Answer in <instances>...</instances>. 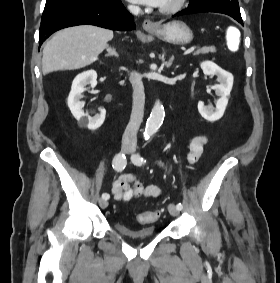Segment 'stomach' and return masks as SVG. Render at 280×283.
Here are the masks:
<instances>
[{"label":"stomach","mask_w":280,"mask_h":283,"mask_svg":"<svg viewBox=\"0 0 280 283\" xmlns=\"http://www.w3.org/2000/svg\"><path fill=\"white\" fill-rule=\"evenodd\" d=\"M159 39L175 44H189L193 40L192 30L182 21H172L150 31Z\"/></svg>","instance_id":"obj_1"}]
</instances>
